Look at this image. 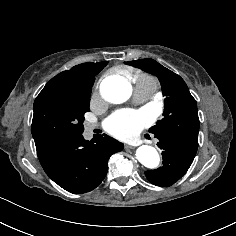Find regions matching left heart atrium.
<instances>
[{"label":"left heart atrium","instance_id":"obj_1","mask_svg":"<svg viewBox=\"0 0 236 236\" xmlns=\"http://www.w3.org/2000/svg\"><path fill=\"white\" fill-rule=\"evenodd\" d=\"M143 112L134 110L118 111L106 123L107 131L119 139H129L140 132L146 125Z\"/></svg>","mask_w":236,"mask_h":236}]
</instances>
